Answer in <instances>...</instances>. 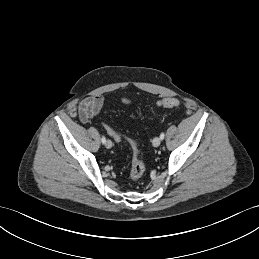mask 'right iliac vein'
<instances>
[{
	"label": "right iliac vein",
	"instance_id": "1",
	"mask_svg": "<svg viewBox=\"0 0 259 259\" xmlns=\"http://www.w3.org/2000/svg\"><path fill=\"white\" fill-rule=\"evenodd\" d=\"M106 147L107 148H111L112 147V142L111 140H107L106 143H105Z\"/></svg>",
	"mask_w": 259,
	"mask_h": 259
}]
</instances>
